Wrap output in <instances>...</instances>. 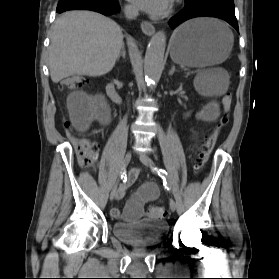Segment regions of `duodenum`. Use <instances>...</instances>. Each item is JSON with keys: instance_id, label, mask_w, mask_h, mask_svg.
<instances>
[{"instance_id": "1", "label": "duodenum", "mask_w": 279, "mask_h": 279, "mask_svg": "<svg viewBox=\"0 0 279 279\" xmlns=\"http://www.w3.org/2000/svg\"><path fill=\"white\" fill-rule=\"evenodd\" d=\"M107 92L108 95L110 96V98L116 103V104H120L122 102V99L120 97V95L118 94L116 87L113 83H109L107 86Z\"/></svg>"}]
</instances>
